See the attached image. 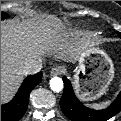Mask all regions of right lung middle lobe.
<instances>
[{
  "label": "right lung middle lobe",
  "mask_w": 121,
  "mask_h": 121,
  "mask_svg": "<svg viewBox=\"0 0 121 121\" xmlns=\"http://www.w3.org/2000/svg\"><path fill=\"white\" fill-rule=\"evenodd\" d=\"M8 17V14L1 12V20Z\"/></svg>",
  "instance_id": "right-lung-middle-lobe-1"
}]
</instances>
